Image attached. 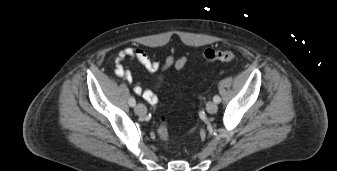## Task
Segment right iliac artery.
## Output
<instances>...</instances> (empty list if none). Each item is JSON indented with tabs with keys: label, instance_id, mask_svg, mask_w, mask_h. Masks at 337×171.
Segmentation results:
<instances>
[{
	"label": "right iliac artery",
	"instance_id": "right-iliac-artery-1",
	"mask_svg": "<svg viewBox=\"0 0 337 171\" xmlns=\"http://www.w3.org/2000/svg\"><path fill=\"white\" fill-rule=\"evenodd\" d=\"M129 105L131 107H134L136 105V101H135V98L134 97H130L129 99Z\"/></svg>",
	"mask_w": 337,
	"mask_h": 171
}]
</instances>
